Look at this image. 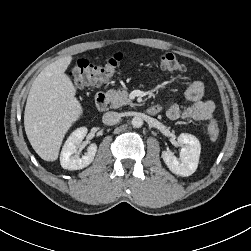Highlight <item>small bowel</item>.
Segmentation results:
<instances>
[{
  "label": "small bowel",
  "mask_w": 251,
  "mask_h": 251,
  "mask_svg": "<svg viewBox=\"0 0 251 251\" xmlns=\"http://www.w3.org/2000/svg\"><path fill=\"white\" fill-rule=\"evenodd\" d=\"M185 98L189 104L180 106L172 104L166 110V116L170 120L191 119V120H209L214 113L215 104L212 100L203 99L204 84L200 80L192 81L184 92Z\"/></svg>",
  "instance_id": "small-bowel-1"
}]
</instances>
